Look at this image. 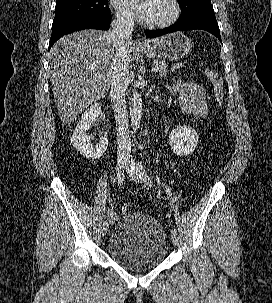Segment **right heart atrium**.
<instances>
[{"instance_id":"obj_1","label":"right heart atrium","mask_w":272,"mask_h":303,"mask_svg":"<svg viewBox=\"0 0 272 303\" xmlns=\"http://www.w3.org/2000/svg\"><path fill=\"white\" fill-rule=\"evenodd\" d=\"M115 10L118 20L122 23H132L133 16L131 12L126 8L123 0H110Z\"/></svg>"}]
</instances>
